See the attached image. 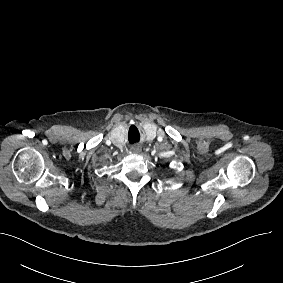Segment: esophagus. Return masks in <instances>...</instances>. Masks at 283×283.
I'll return each instance as SVG.
<instances>
[{
  "mask_svg": "<svg viewBox=\"0 0 283 283\" xmlns=\"http://www.w3.org/2000/svg\"><path fill=\"white\" fill-rule=\"evenodd\" d=\"M133 149L135 152H140L141 151V147L140 146H133Z\"/></svg>",
  "mask_w": 283,
  "mask_h": 283,
  "instance_id": "obj_1",
  "label": "esophagus"
}]
</instances>
